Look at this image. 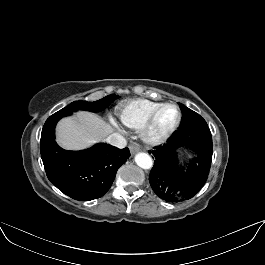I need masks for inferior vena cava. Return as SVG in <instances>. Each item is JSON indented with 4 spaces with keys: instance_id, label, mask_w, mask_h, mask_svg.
<instances>
[{
    "instance_id": "obj_1",
    "label": "inferior vena cava",
    "mask_w": 265,
    "mask_h": 265,
    "mask_svg": "<svg viewBox=\"0 0 265 265\" xmlns=\"http://www.w3.org/2000/svg\"><path fill=\"white\" fill-rule=\"evenodd\" d=\"M105 142L110 144V145L116 146L118 148H124L127 145L126 139L117 133H113V134L109 135L105 139Z\"/></svg>"
}]
</instances>
